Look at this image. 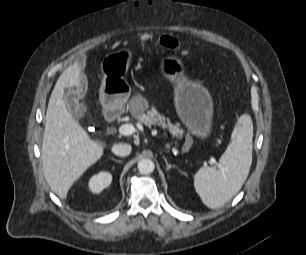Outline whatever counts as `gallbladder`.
Wrapping results in <instances>:
<instances>
[{
  "mask_svg": "<svg viewBox=\"0 0 306 255\" xmlns=\"http://www.w3.org/2000/svg\"><path fill=\"white\" fill-rule=\"evenodd\" d=\"M64 101L67 109L72 113L74 119L78 120L80 111L85 110V106L79 103L77 93L73 90H68L64 95Z\"/></svg>",
  "mask_w": 306,
  "mask_h": 255,
  "instance_id": "bac80fb5",
  "label": "gallbladder"
}]
</instances>
